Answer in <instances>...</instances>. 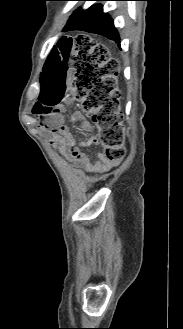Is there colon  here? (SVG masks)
Listing matches in <instances>:
<instances>
[{
	"mask_svg": "<svg viewBox=\"0 0 183 329\" xmlns=\"http://www.w3.org/2000/svg\"><path fill=\"white\" fill-rule=\"evenodd\" d=\"M58 42L57 52L41 56L42 62H49L42 71L63 74H44V81L39 83L43 92L34 113L57 118L63 103H67V109H82L97 126L104 159L116 163L125 155L124 126L119 102L111 96L113 82L101 77L102 72L120 73V66L102 67V62H115L116 56L103 55L100 47L90 52L96 37H59ZM44 126L51 131L57 128Z\"/></svg>",
	"mask_w": 183,
	"mask_h": 329,
	"instance_id": "colon-1",
	"label": "colon"
}]
</instances>
